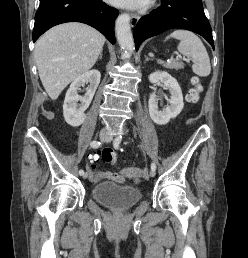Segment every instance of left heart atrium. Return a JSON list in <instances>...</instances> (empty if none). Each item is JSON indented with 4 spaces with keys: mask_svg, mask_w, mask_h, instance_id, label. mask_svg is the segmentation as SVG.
I'll return each instance as SVG.
<instances>
[{
    "mask_svg": "<svg viewBox=\"0 0 248 258\" xmlns=\"http://www.w3.org/2000/svg\"><path fill=\"white\" fill-rule=\"evenodd\" d=\"M110 3L120 7L139 8L142 7L146 0H108Z\"/></svg>",
    "mask_w": 248,
    "mask_h": 258,
    "instance_id": "1",
    "label": "left heart atrium"
}]
</instances>
